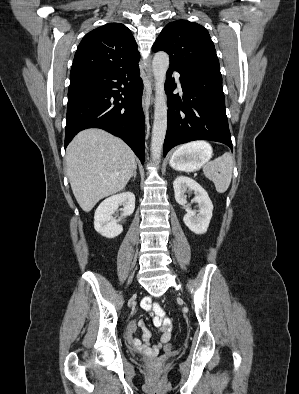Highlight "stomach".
I'll return each mask as SVG.
<instances>
[{
	"label": "stomach",
	"instance_id": "obj_1",
	"mask_svg": "<svg viewBox=\"0 0 299 394\" xmlns=\"http://www.w3.org/2000/svg\"><path fill=\"white\" fill-rule=\"evenodd\" d=\"M212 155V149L204 146H183L170 157V165L178 171L192 172L204 165Z\"/></svg>",
	"mask_w": 299,
	"mask_h": 394
}]
</instances>
